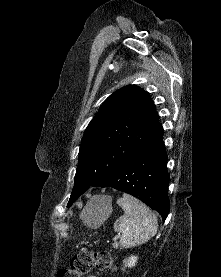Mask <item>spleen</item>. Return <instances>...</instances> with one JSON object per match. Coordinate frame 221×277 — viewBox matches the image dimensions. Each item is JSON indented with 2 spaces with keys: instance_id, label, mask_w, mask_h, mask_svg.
Segmentation results:
<instances>
[{
  "instance_id": "spleen-1",
  "label": "spleen",
  "mask_w": 221,
  "mask_h": 277,
  "mask_svg": "<svg viewBox=\"0 0 221 277\" xmlns=\"http://www.w3.org/2000/svg\"><path fill=\"white\" fill-rule=\"evenodd\" d=\"M124 210V215L114 223V230L121 233L120 244L131 248L144 244L157 233L156 215L138 199L124 194L117 200Z\"/></svg>"
}]
</instances>
